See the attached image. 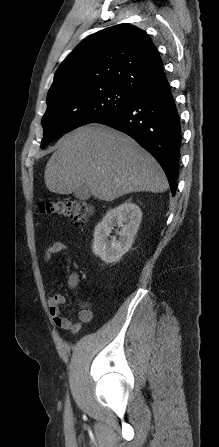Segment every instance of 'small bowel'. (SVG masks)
<instances>
[{
    "mask_svg": "<svg viewBox=\"0 0 219 447\" xmlns=\"http://www.w3.org/2000/svg\"><path fill=\"white\" fill-rule=\"evenodd\" d=\"M68 249L67 244L61 241H55L49 245L44 252V261L48 262L52 256ZM69 286L75 288L77 286V278L73 276L69 280ZM65 302V297L56 293L48 298V307L50 316L54 324L65 330L76 332L80 329L82 323H88L93 319V311L89 301H83L78 314L79 321H73L63 315L60 306Z\"/></svg>",
    "mask_w": 219,
    "mask_h": 447,
    "instance_id": "small-bowel-1",
    "label": "small bowel"
}]
</instances>
